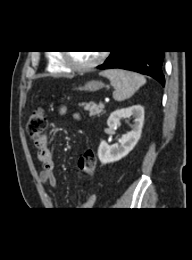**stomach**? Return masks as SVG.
Segmentation results:
<instances>
[{"label": "stomach", "mask_w": 192, "mask_h": 260, "mask_svg": "<svg viewBox=\"0 0 192 260\" xmlns=\"http://www.w3.org/2000/svg\"><path fill=\"white\" fill-rule=\"evenodd\" d=\"M103 87L104 84L102 82L92 80V81H88L83 87H79L78 89L89 91V92H95Z\"/></svg>", "instance_id": "1"}]
</instances>
